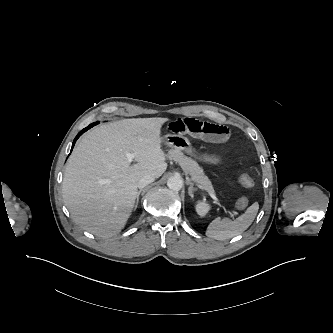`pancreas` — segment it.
<instances>
[{
    "label": "pancreas",
    "mask_w": 333,
    "mask_h": 333,
    "mask_svg": "<svg viewBox=\"0 0 333 333\" xmlns=\"http://www.w3.org/2000/svg\"><path fill=\"white\" fill-rule=\"evenodd\" d=\"M168 156L171 160L180 164L185 173L191 176V181L193 183L198 185L204 191L214 193L211 181L204 174L203 169L199 167L197 162L185 156L181 151L175 149H171Z\"/></svg>",
    "instance_id": "cf45deb5"
}]
</instances>
